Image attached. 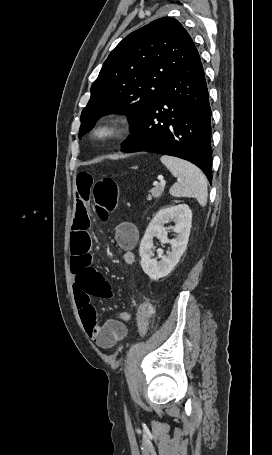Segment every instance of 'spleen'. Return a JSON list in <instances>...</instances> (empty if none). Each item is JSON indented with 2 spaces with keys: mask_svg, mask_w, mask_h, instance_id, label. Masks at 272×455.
<instances>
[{
  "mask_svg": "<svg viewBox=\"0 0 272 455\" xmlns=\"http://www.w3.org/2000/svg\"><path fill=\"white\" fill-rule=\"evenodd\" d=\"M160 160L177 177V182L170 188V194L173 197L195 198L204 207L208 198L207 180L200 169L172 156L164 155Z\"/></svg>",
  "mask_w": 272,
  "mask_h": 455,
  "instance_id": "3e777b00",
  "label": "spleen"
}]
</instances>
